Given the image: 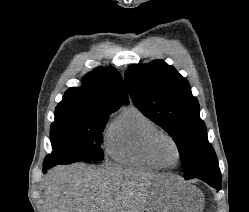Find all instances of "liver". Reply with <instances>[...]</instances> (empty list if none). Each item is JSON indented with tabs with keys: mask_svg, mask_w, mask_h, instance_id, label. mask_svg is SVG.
<instances>
[{
	"mask_svg": "<svg viewBox=\"0 0 249 212\" xmlns=\"http://www.w3.org/2000/svg\"><path fill=\"white\" fill-rule=\"evenodd\" d=\"M170 174L122 166L70 164L48 170L42 188L44 212H144L149 188Z\"/></svg>",
	"mask_w": 249,
	"mask_h": 212,
	"instance_id": "liver-1",
	"label": "liver"
}]
</instances>
